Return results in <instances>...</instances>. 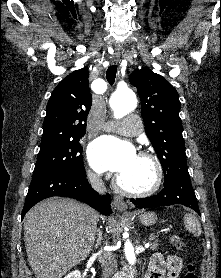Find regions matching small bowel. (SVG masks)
<instances>
[{
  "instance_id": "small-bowel-1",
  "label": "small bowel",
  "mask_w": 221,
  "mask_h": 278,
  "mask_svg": "<svg viewBox=\"0 0 221 278\" xmlns=\"http://www.w3.org/2000/svg\"><path fill=\"white\" fill-rule=\"evenodd\" d=\"M182 266V260L178 256L157 253L151 258L145 278H178Z\"/></svg>"
}]
</instances>
